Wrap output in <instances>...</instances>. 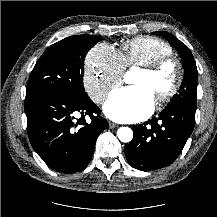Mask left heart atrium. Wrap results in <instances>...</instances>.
Wrapping results in <instances>:
<instances>
[{
	"instance_id": "39dd6f15",
	"label": "left heart atrium",
	"mask_w": 217,
	"mask_h": 217,
	"mask_svg": "<svg viewBox=\"0 0 217 217\" xmlns=\"http://www.w3.org/2000/svg\"><path fill=\"white\" fill-rule=\"evenodd\" d=\"M154 107V96L145 87L128 86L114 91L104 104L105 114L117 122L146 118Z\"/></svg>"
}]
</instances>
